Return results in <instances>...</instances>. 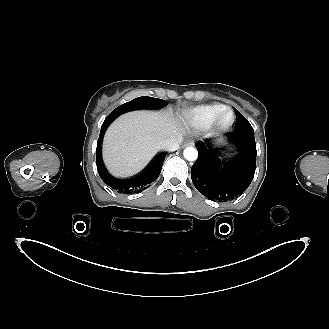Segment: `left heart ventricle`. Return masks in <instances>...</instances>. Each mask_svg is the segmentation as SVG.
Wrapping results in <instances>:
<instances>
[{"instance_id": "1", "label": "left heart ventricle", "mask_w": 329, "mask_h": 329, "mask_svg": "<svg viewBox=\"0 0 329 329\" xmlns=\"http://www.w3.org/2000/svg\"><path fill=\"white\" fill-rule=\"evenodd\" d=\"M231 120V114H226L224 117H223V122L224 123H228L229 121Z\"/></svg>"}]
</instances>
